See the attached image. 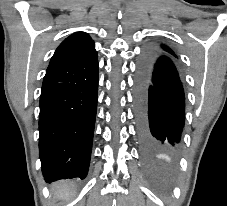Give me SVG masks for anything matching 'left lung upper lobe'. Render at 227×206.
Returning a JSON list of instances; mask_svg holds the SVG:
<instances>
[{"label": "left lung upper lobe", "instance_id": "5c2ea615", "mask_svg": "<svg viewBox=\"0 0 227 206\" xmlns=\"http://www.w3.org/2000/svg\"><path fill=\"white\" fill-rule=\"evenodd\" d=\"M153 50L157 51V52H160V53H163V54H166L168 56H172V57H176L177 56L175 55V53L166 45H159L157 47H154Z\"/></svg>", "mask_w": 227, "mask_h": 206}]
</instances>
